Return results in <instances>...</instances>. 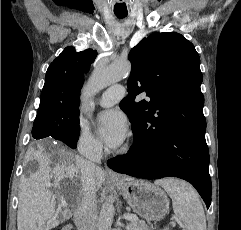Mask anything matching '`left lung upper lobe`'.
Returning <instances> with one entry per match:
<instances>
[{"mask_svg": "<svg viewBox=\"0 0 241 230\" xmlns=\"http://www.w3.org/2000/svg\"><path fill=\"white\" fill-rule=\"evenodd\" d=\"M128 96L120 102L133 129L150 140L172 130L205 133L200 58L194 45L176 32L155 33L131 49ZM145 92L147 100L136 103Z\"/></svg>", "mask_w": 241, "mask_h": 230, "instance_id": "left-lung-upper-lobe-1", "label": "left lung upper lobe"}]
</instances>
